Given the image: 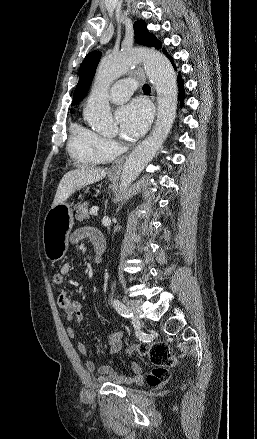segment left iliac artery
<instances>
[{
	"label": "left iliac artery",
	"mask_w": 257,
	"mask_h": 439,
	"mask_svg": "<svg viewBox=\"0 0 257 439\" xmlns=\"http://www.w3.org/2000/svg\"><path fill=\"white\" fill-rule=\"evenodd\" d=\"M112 304H113V307L116 309V311H117L120 315H122L123 317H127V318H129V317H132V316H133L132 313H129V312H128L126 306H125L120 300H118V299H114L113 302H112Z\"/></svg>",
	"instance_id": "obj_1"
}]
</instances>
